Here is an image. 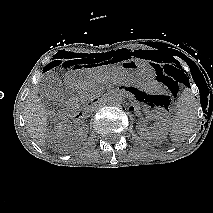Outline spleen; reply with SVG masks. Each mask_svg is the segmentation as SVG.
Instances as JSON below:
<instances>
[{
	"label": "spleen",
	"instance_id": "1",
	"mask_svg": "<svg viewBox=\"0 0 213 213\" xmlns=\"http://www.w3.org/2000/svg\"><path fill=\"white\" fill-rule=\"evenodd\" d=\"M198 107L199 101L194 94L189 89H185L178 99V109L170 128L169 137L172 142H183L194 131Z\"/></svg>",
	"mask_w": 213,
	"mask_h": 213
}]
</instances>
